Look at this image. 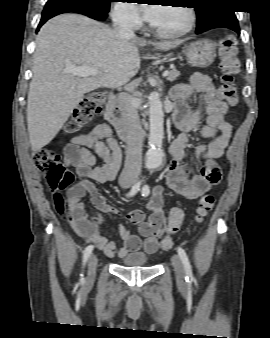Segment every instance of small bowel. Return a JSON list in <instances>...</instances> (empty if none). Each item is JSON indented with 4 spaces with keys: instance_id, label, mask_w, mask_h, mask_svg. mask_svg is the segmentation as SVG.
Segmentation results:
<instances>
[{
    "instance_id": "1",
    "label": "small bowel",
    "mask_w": 270,
    "mask_h": 338,
    "mask_svg": "<svg viewBox=\"0 0 270 338\" xmlns=\"http://www.w3.org/2000/svg\"><path fill=\"white\" fill-rule=\"evenodd\" d=\"M171 96L178 106H186L190 100L200 104L191 113L178 110L174 116L173 122L180 128L181 134L171 145L173 162L166 173V183L171 190L194 200L208 193L210 187L219 182L221 173L206 167L194 168L191 178H188L190 170L182 163L186 156L188 136L205 120L206 123L200 129V137L209 140V143L197 145L195 158L211 162L222 157L232 137V127L224 118L229 108L218 97L211 78L201 73L193 74L187 83L176 85ZM98 159L102 161L100 166L96 165ZM64 160L75 167L81 178L67 190L65 197L55 195V200H58L61 212L67 214L71 227L107 257L116 254L122 256L126 252L155 253L164 225L163 191L160 186L153 189V199L147 205L150 213L147 220L141 210H130L124 215L126 220L139 225L144 242L139 236L131 234L124 225H119L118 231L124 241L123 246L119 247L115 241H109L101 233V218L90 215L84 207L83 200L89 196L98 209L115 212L93 183L113 180L120 167L121 152L113 138L111 126L102 122L89 133L75 136L65 146Z\"/></svg>"
}]
</instances>
